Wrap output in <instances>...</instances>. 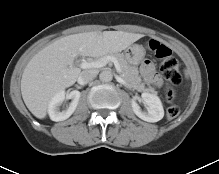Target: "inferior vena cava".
I'll return each instance as SVG.
<instances>
[{"mask_svg": "<svg viewBox=\"0 0 219 174\" xmlns=\"http://www.w3.org/2000/svg\"><path fill=\"white\" fill-rule=\"evenodd\" d=\"M96 76H97L96 70H85L82 71L81 74L79 75L78 81L81 84H85L92 81Z\"/></svg>", "mask_w": 219, "mask_h": 174, "instance_id": "obj_1", "label": "inferior vena cava"}]
</instances>
